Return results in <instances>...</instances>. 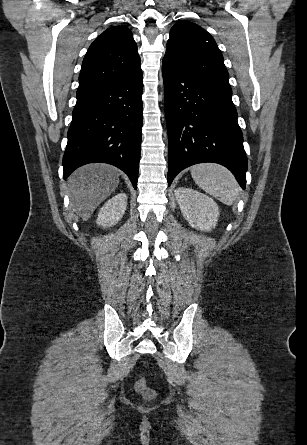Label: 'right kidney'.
Wrapping results in <instances>:
<instances>
[{
	"label": "right kidney",
	"instance_id": "1",
	"mask_svg": "<svg viewBox=\"0 0 307 445\" xmlns=\"http://www.w3.org/2000/svg\"><path fill=\"white\" fill-rule=\"evenodd\" d=\"M126 206L127 194H125V192L115 194V196H112L110 200H107V202L103 204L96 220L97 225L103 227V229L117 225L118 220L122 218L126 210Z\"/></svg>",
	"mask_w": 307,
	"mask_h": 445
}]
</instances>
